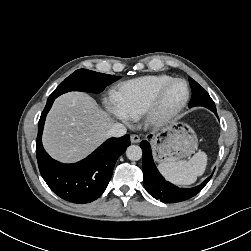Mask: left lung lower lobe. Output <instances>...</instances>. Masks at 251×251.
Returning <instances> with one entry per match:
<instances>
[{"instance_id": "left-lung-lower-lobe-1", "label": "left lung lower lobe", "mask_w": 251, "mask_h": 251, "mask_svg": "<svg viewBox=\"0 0 251 251\" xmlns=\"http://www.w3.org/2000/svg\"><path fill=\"white\" fill-rule=\"evenodd\" d=\"M211 111L218 117L216 110ZM140 147L143 150L142 170L144 187L151 196L164 203H177L190 199L198 194L212 177V175L209 176L202 184L193 188H178L166 181L157 170L152 158L149 142L143 140L140 143Z\"/></svg>"}]
</instances>
